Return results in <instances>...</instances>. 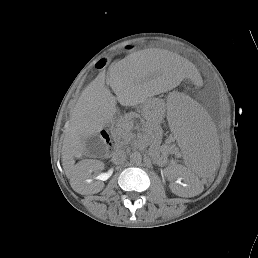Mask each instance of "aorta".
Wrapping results in <instances>:
<instances>
[{
	"label": "aorta",
	"mask_w": 258,
	"mask_h": 258,
	"mask_svg": "<svg viewBox=\"0 0 258 258\" xmlns=\"http://www.w3.org/2000/svg\"><path fill=\"white\" fill-rule=\"evenodd\" d=\"M130 161L131 163L133 164H140L141 161H142V155L139 153V152H133L131 155H130Z\"/></svg>",
	"instance_id": "obj_1"
}]
</instances>
